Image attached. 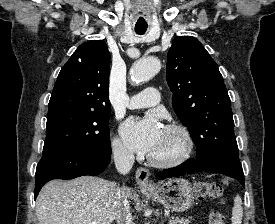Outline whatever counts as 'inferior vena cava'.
Instances as JSON below:
<instances>
[{
	"label": "inferior vena cava",
	"mask_w": 275,
	"mask_h": 224,
	"mask_svg": "<svg viewBox=\"0 0 275 224\" xmlns=\"http://www.w3.org/2000/svg\"><path fill=\"white\" fill-rule=\"evenodd\" d=\"M114 163L120 174L126 175L130 172L134 164V154L124 147L113 149ZM114 206L117 213L118 224H131L132 216L130 213L129 202L127 200V188H117Z\"/></svg>",
	"instance_id": "1"
}]
</instances>
